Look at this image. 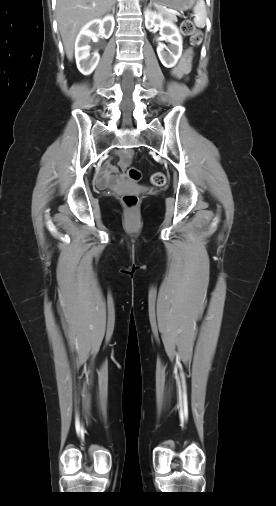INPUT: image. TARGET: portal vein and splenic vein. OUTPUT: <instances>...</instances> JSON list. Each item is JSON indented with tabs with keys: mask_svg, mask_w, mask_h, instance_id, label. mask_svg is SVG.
Instances as JSON below:
<instances>
[{
	"mask_svg": "<svg viewBox=\"0 0 276 506\" xmlns=\"http://www.w3.org/2000/svg\"><path fill=\"white\" fill-rule=\"evenodd\" d=\"M168 13H172V14H178L176 11H168L166 10Z\"/></svg>",
	"mask_w": 276,
	"mask_h": 506,
	"instance_id": "obj_1",
	"label": "portal vein and splenic vein"
}]
</instances>
